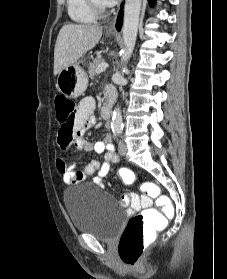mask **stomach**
<instances>
[{
    "label": "stomach",
    "instance_id": "obj_1",
    "mask_svg": "<svg viewBox=\"0 0 227 279\" xmlns=\"http://www.w3.org/2000/svg\"><path fill=\"white\" fill-rule=\"evenodd\" d=\"M56 85L58 90L67 97L77 98L81 96L88 86V79L80 66V61L60 71Z\"/></svg>",
    "mask_w": 227,
    "mask_h": 279
}]
</instances>
